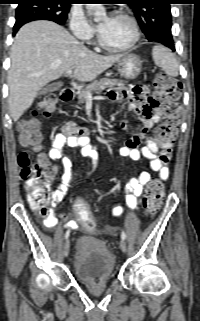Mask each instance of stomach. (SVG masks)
<instances>
[{
  "label": "stomach",
  "mask_w": 200,
  "mask_h": 321,
  "mask_svg": "<svg viewBox=\"0 0 200 321\" xmlns=\"http://www.w3.org/2000/svg\"><path fill=\"white\" fill-rule=\"evenodd\" d=\"M142 62V59L136 54H125L118 60V72L126 79H134L141 72Z\"/></svg>",
  "instance_id": "0dacf381"
}]
</instances>
